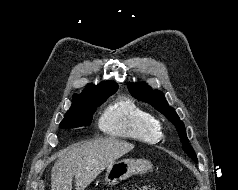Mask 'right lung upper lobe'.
Listing matches in <instances>:
<instances>
[{
  "instance_id": "1",
  "label": "right lung upper lobe",
  "mask_w": 238,
  "mask_h": 190,
  "mask_svg": "<svg viewBox=\"0 0 238 190\" xmlns=\"http://www.w3.org/2000/svg\"><path fill=\"white\" fill-rule=\"evenodd\" d=\"M118 89L117 83L113 81L101 82L98 85L88 84L83 90L82 94L73 95L71 107H78L82 104L84 99L99 95L115 92Z\"/></svg>"
}]
</instances>
